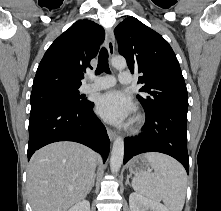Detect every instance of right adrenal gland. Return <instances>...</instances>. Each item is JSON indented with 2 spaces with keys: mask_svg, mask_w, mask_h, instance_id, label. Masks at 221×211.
<instances>
[{
  "mask_svg": "<svg viewBox=\"0 0 221 211\" xmlns=\"http://www.w3.org/2000/svg\"><path fill=\"white\" fill-rule=\"evenodd\" d=\"M94 185H95V176H94V178H93V180H92V184H91V186H90V188H89L88 194L91 192V190H92V188L94 187Z\"/></svg>",
  "mask_w": 221,
  "mask_h": 211,
  "instance_id": "1",
  "label": "right adrenal gland"
}]
</instances>
